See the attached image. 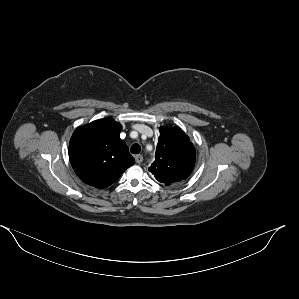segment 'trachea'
Returning <instances> with one entry per match:
<instances>
[{
    "label": "trachea",
    "instance_id": "trachea-1",
    "mask_svg": "<svg viewBox=\"0 0 299 299\" xmlns=\"http://www.w3.org/2000/svg\"><path fill=\"white\" fill-rule=\"evenodd\" d=\"M130 151H131L132 154H138V153H140V151H141V147H140L139 144L135 143V144H133V145L131 146Z\"/></svg>",
    "mask_w": 299,
    "mask_h": 299
}]
</instances>
